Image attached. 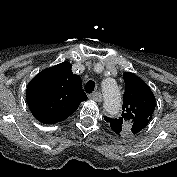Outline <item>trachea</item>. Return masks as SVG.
<instances>
[{
	"mask_svg": "<svg viewBox=\"0 0 177 177\" xmlns=\"http://www.w3.org/2000/svg\"><path fill=\"white\" fill-rule=\"evenodd\" d=\"M95 88V82L94 81H88L85 86V90L87 93H91L94 91Z\"/></svg>",
	"mask_w": 177,
	"mask_h": 177,
	"instance_id": "obj_1",
	"label": "trachea"
}]
</instances>
